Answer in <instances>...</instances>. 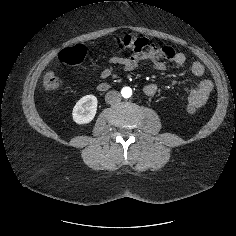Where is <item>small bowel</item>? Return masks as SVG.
Segmentation results:
<instances>
[{"label":"small bowel","instance_id":"small-bowel-1","mask_svg":"<svg viewBox=\"0 0 236 236\" xmlns=\"http://www.w3.org/2000/svg\"><path fill=\"white\" fill-rule=\"evenodd\" d=\"M164 59L179 66L186 63V56L184 53L176 51L172 46H164L160 49L155 48L149 52L132 53L128 57H111L109 59V66L99 71V77L105 79L118 71H134L147 60L151 62L152 67L155 70L164 71L166 69ZM190 70L191 73L197 78H201L205 73V68L199 61L191 62ZM212 91L213 82L209 79H201L197 86L189 93L188 107L191 106L195 110L200 108L207 102ZM156 92V84L148 83L144 86V93L147 96H154Z\"/></svg>","mask_w":236,"mask_h":236}]
</instances>
